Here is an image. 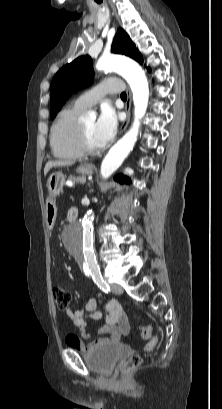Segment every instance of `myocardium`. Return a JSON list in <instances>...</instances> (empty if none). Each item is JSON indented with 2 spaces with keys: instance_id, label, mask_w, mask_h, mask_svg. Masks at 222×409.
<instances>
[{
  "instance_id": "obj_1",
  "label": "myocardium",
  "mask_w": 222,
  "mask_h": 409,
  "mask_svg": "<svg viewBox=\"0 0 222 409\" xmlns=\"http://www.w3.org/2000/svg\"><path fill=\"white\" fill-rule=\"evenodd\" d=\"M77 146L82 154L96 155L100 153V148H92L88 144L85 128L82 122H80L77 132Z\"/></svg>"
}]
</instances>
